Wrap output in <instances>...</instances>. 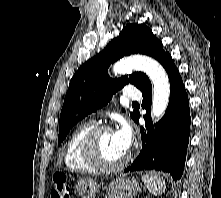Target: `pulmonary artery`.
<instances>
[{
  "label": "pulmonary artery",
  "mask_w": 221,
  "mask_h": 198,
  "mask_svg": "<svg viewBox=\"0 0 221 198\" xmlns=\"http://www.w3.org/2000/svg\"><path fill=\"white\" fill-rule=\"evenodd\" d=\"M124 96L131 100H139L141 98V92L135 88H126Z\"/></svg>",
  "instance_id": "e3ab8cb5"
}]
</instances>
